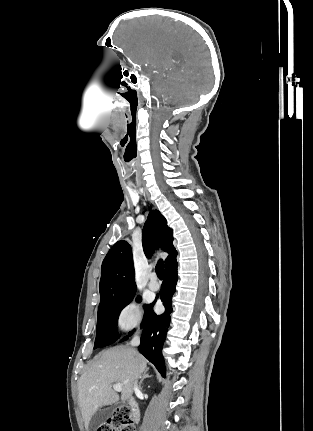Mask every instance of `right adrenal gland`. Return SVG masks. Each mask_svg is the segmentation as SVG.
Here are the masks:
<instances>
[{
	"label": "right adrenal gland",
	"mask_w": 313,
	"mask_h": 431,
	"mask_svg": "<svg viewBox=\"0 0 313 431\" xmlns=\"http://www.w3.org/2000/svg\"><path fill=\"white\" fill-rule=\"evenodd\" d=\"M148 370H149V368H146V370L144 371V373H143V376L141 377V380H140V382H139V388L141 389L142 387V383H143V381L146 379V378H150V377H152L151 375H149L148 374Z\"/></svg>",
	"instance_id": "2a0ac1e0"
}]
</instances>
